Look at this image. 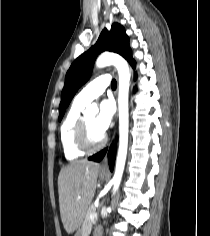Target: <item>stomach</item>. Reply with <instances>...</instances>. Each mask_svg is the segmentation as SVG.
I'll return each mask as SVG.
<instances>
[{"instance_id":"obj_1","label":"stomach","mask_w":210,"mask_h":236,"mask_svg":"<svg viewBox=\"0 0 210 236\" xmlns=\"http://www.w3.org/2000/svg\"><path fill=\"white\" fill-rule=\"evenodd\" d=\"M100 178H101L102 180H104V179L107 178V175H105V174H103V173H100Z\"/></svg>"}]
</instances>
